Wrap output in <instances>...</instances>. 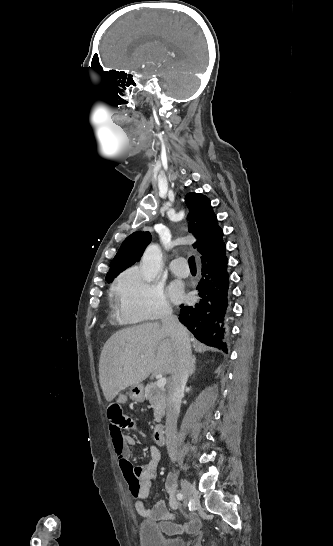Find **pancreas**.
Segmentation results:
<instances>
[{"instance_id":"cf45deb5","label":"pancreas","mask_w":333,"mask_h":546,"mask_svg":"<svg viewBox=\"0 0 333 546\" xmlns=\"http://www.w3.org/2000/svg\"><path fill=\"white\" fill-rule=\"evenodd\" d=\"M144 397L150 402L154 410V421L160 422L166 409L165 389L158 387L156 382H152L145 387Z\"/></svg>"}]
</instances>
